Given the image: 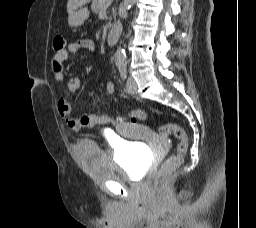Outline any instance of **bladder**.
Masks as SVG:
<instances>
[{
  "label": "bladder",
  "instance_id": "obj_1",
  "mask_svg": "<svg viewBox=\"0 0 256 228\" xmlns=\"http://www.w3.org/2000/svg\"><path fill=\"white\" fill-rule=\"evenodd\" d=\"M79 150L85 169L98 178L132 179L144 174L147 156L136 143L123 141L116 144V149H105L85 140Z\"/></svg>",
  "mask_w": 256,
  "mask_h": 228
}]
</instances>
